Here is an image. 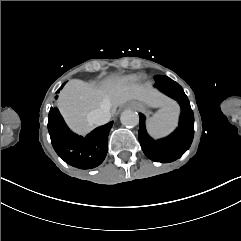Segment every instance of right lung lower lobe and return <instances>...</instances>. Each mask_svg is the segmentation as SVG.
<instances>
[{
  "label": "right lung lower lobe",
  "mask_w": 241,
  "mask_h": 241,
  "mask_svg": "<svg viewBox=\"0 0 241 241\" xmlns=\"http://www.w3.org/2000/svg\"><path fill=\"white\" fill-rule=\"evenodd\" d=\"M112 125L109 122L82 137L67 127L57 108L49 111L48 130L53 148L66 163L79 169H92L104 161Z\"/></svg>",
  "instance_id": "right-lung-lower-lobe-1"
}]
</instances>
